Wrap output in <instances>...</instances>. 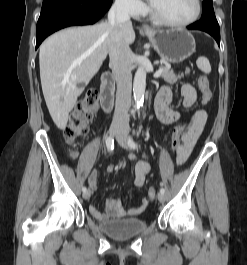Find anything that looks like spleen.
<instances>
[{
	"mask_svg": "<svg viewBox=\"0 0 247 265\" xmlns=\"http://www.w3.org/2000/svg\"><path fill=\"white\" fill-rule=\"evenodd\" d=\"M198 68L203 71L204 73H210L211 72V65L209 63V60L206 57H199L196 62Z\"/></svg>",
	"mask_w": 247,
	"mask_h": 265,
	"instance_id": "3e777b00",
	"label": "spleen"
}]
</instances>
